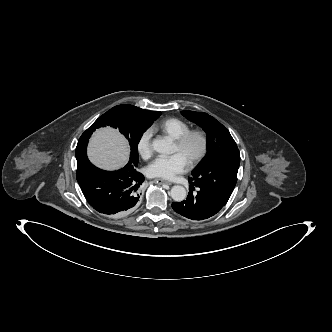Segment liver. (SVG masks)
<instances>
[{
	"instance_id": "1",
	"label": "liver",
	"mask_w": 332,
	"mask_h": 332,
	"mask_svg": "<svg viewBox=\"0 0 332 332\" xmlns=\"http://www.w3.org/2000/svg\"><path fill=\"white\" fill-rule=\"evenodd\" d=\"M128 147L123 136L115 129H98L88 145L89 160L102 169L114 170L125 164Z\"/></svg>"
}]
</instances>
